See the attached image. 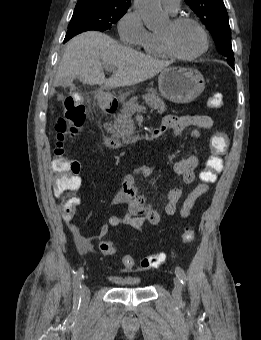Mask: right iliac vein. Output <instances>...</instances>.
Instances as JSON below:
<instances>
[{
  "mask_svg": "<svg viewBox=\"0 0 261 340\" xmlns=\"http://www.w3.org/2000/svg\"><path fill=\"white\" fill-rule=\"evenodd\" d=\"M81 297H82V300L85 301V302L89 300L90 291H89V289H88V287L86 285L82 286Z\"/></svg>",
  "mask_w": 261,
  "mask_h": 340,
  "instance_id": "right-iliac-vein-1",
  "label": "right iliac vein"
}]
</instances>
